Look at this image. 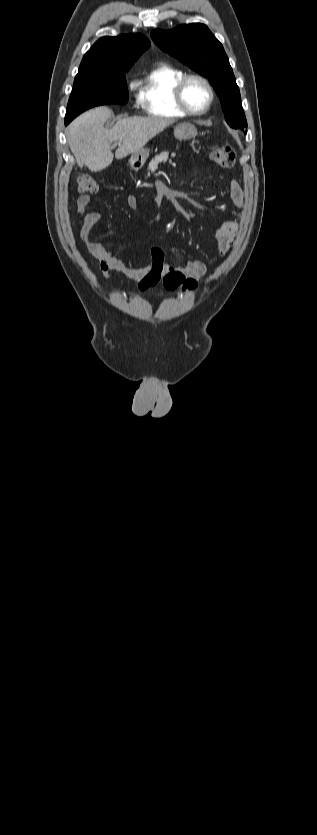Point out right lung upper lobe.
Instances as JSON below:
<instances>
[{"label":"right lung upper lobe","mask_w":317,"mask_h":835,"mask_svg":"<svg viewBox=\"0 0 317 835\" xmlns=\"http://www.w3.org/2000/svg\"><path fill=\"white\" fill-rule=\"evenodd\" d=\"M149 45L141 34L102 37L84 55L79 72L129 70Z\"/></svg>","instance_id":"cb5924a9"}]
</instances>
